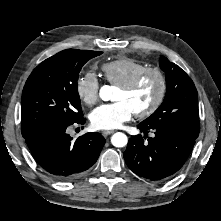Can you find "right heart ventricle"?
<instances>
[{"mask_svg":"<svg viewBox=\"0 0 221 221\" xmlns=\"http://www.w3.org/2000/svg\"><path fill=\"white\" fill-rule=\"evenodd\" d=\"M146 67V64L132 58H120L104 63L101 67L105 79L118 86L131 79L136 73Z\"/></svg>","mask_w":221,"mask_h":221,"instance_id":"e07e8e85","label":"right heart ventricle"}]
</instances>
